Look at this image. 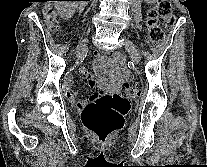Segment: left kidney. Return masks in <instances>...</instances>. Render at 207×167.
Here are the masks:
<instances>
[{
    "instance_id": "left-kidney-1",
    "label": "left kidney",
    "mask_w": 207,
    "mask_h": 167,
    "mask_svg": "<svg viewBox=\"0 0 207 167\" xmlns=\"http://www.w3.org/2000/svg\"><path fill=\"white\" fill-rule=\"evenodd\" d=\"M146 2H148V3H151L152 2V0H145Z\"/></svg>"
}]
</instances>
